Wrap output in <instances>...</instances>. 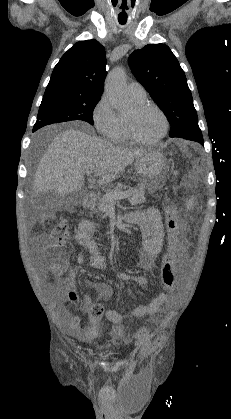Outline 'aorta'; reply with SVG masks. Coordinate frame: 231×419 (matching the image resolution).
I'll return each instance as SVG.
<instances>
[{
    "label": "aorta",
    "instance_id": "762f6f07",
    "mask_svg": "<svg viewBox=\"0 0 231 419\" xmlns=\"http://www.w3.org/2000/svg\"><path fill=\"white\" fill-rule=\"evenodd\" d=\"M105 92L113 107L122 110L127 107L125 72L121 68H115L109 73L105 82Z\"/></svg>",
    "mask_w": 231,
    "mask_h": 419
}]
</instances>
